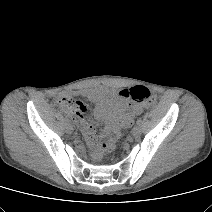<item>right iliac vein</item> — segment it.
Wrapping results in <instances>:
<instances>
[{"label":"right iliac vein","mask_w":212,"mask_h":212,"mask_svg":"<svg viewBox=\"0 0 212 212\" xmlns=\"http://www.w3.org/2000/svg\"><path fill=\"white\" fill-rule=\"evenodd\" d=\"M67 131H68V133H72V132H73V128H72V126L69 125V124H68V126H67Z\"/></svg>","instance_id":"right-iliac-vein-1"}]
</instances>
